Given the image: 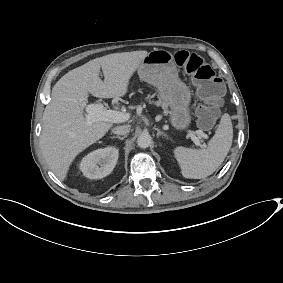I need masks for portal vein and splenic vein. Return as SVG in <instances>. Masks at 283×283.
Segmentation results:
<instances>
[{
    "instance_id": "18ae733b",
    "label": "portal vein and splenic vein",
    "mask_w": 283,
    "mask_h": 283,
    "mask_svg": "<svg viewBox=\"0 0 283 283\" xmlns=\"http://www.w3.org/2000/svg\"><path fill=\"white\" fill-rule=\"evenodd\" d=\"M85 113H86L85 119L87 124L89 125L97 121H110L112 123H119L127 120V114L113 110H105L104 103L102 102L97 104L86 105ZM196 134L199 137L192 136V141L194 142L195 146L205 149L206 146L200 142V138L202 137L206 138L207 135L201 130H198Z\"/></svg>"
}]
</instances>
